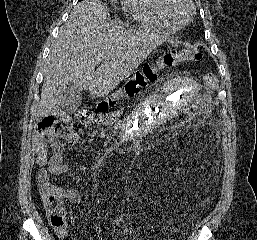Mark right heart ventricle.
Segmentation results:
<instances>
[{"mask_svg":"<svg viewBox=\"0 0 257 240\" xmlns=\"http://www.w3.org/2000/svg\"><path fill=\"white\" fill-rule=\"evenodd\" d=\"M123 6L149 29L162 33L177 30V26L166 15L164 0H123Z\"/></svg>","mask_w":257,"mask_h":240,"instance_id":"obj_1","label":"right heart ventricle"}]
</instances>
